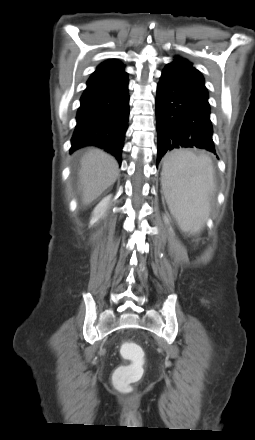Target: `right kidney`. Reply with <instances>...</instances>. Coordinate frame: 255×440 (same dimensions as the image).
<instances>
[{
  "label": "right kidney",
  "instance_id": "ca27d5eb",
  "mask_svg": "<svg viewBox=\"0 0 255 440\" xmlns=\"http://www.w3.org/2000/svg\"><path fill=\"white\" fill-rule=\"evenodd\" d=\"M111 195L104 197L99 204L95 207L92 213V218L90 220V224L93 225L96 223L102 216H104L108 205L110 203Z\"/></svg>",
  "mask_w": 255,
  "mask_h": 440
}]
</instances>
